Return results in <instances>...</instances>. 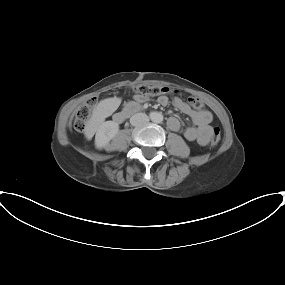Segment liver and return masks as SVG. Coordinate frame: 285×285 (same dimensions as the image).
<instances>
[{
    "label": "liver",
    "instance_id": "liver-1",
    "mask_svg": "<svg viewBox=\"0 0 285 285\" xmlns=\"http://www.w3.org/2000/svg\"><path fill=\"white\" fill-rule=\"evenodd\" d=\"M110 101L111 99H105L101 101L94 109L92 117L85 127V136L88 140H90L93 137L98 126L104 119L106 112H107L106 107Z\"/></svg>",
    "mask_w": 285,
    "mask_h": 285
}]
</instances>
